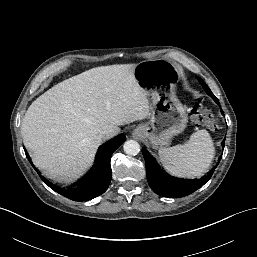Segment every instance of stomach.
Listing matches in <instances>:
<instances>
[{"mask_svg":"<svg viewBox=\"0 0 257 257\" xmlns=\"http://www.w3.org/2000/svg\"><path fill=\"white\" fill-rule=\"evenodd\" d=\"M134 77L152 100L148 121L137 126L134 134L149 141L154 149L166 148L188 122L175 92L179 67L167 59L146 60L135 65Z\"/></svg>","mask_w":257,"mask_h":257,"instance_id":"0dacf381","label":"stomach"}]
</instances>
